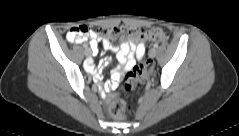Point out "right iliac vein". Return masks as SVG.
<instances>
[{
	"label": "right iliac vein",
	"mask_w": 239,
	"mask_h": 136,
	"mask_svg": "<svg viewBox=\"0 0 239 136\" xmlns=\"http://www.w3.org/2000/svg\"><path fill=\"white\" fill-rule=\"evenodd\" d=\"M91 54H92L91 49L87 48V49L85 50V55H86V56H91Z\"/></svg>",
	"instance_id": "right-iliac-vein-1"
}]
</instances>
